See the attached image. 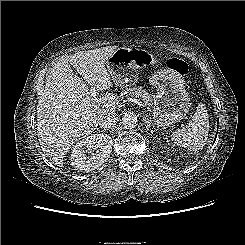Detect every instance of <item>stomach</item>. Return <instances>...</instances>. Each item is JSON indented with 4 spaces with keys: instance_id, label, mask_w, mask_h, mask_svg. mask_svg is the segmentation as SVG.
Listing matches in <instances>:
<instances>
[{
    "instance_id": "stomach-1",
    "label": "stomach",
    "mask_w": 245,
    "mask_h": 245,
    "mask_svg": "<svg viewBox=\"0 0 245 245\" xmlns=\"http://www.w3.org/2000/svg\"><path fill=\"white\" fill-rule=\"evenodd\" d=\"M155 62L154 54L148 50L122 47L106 61V67L116 86L127 88L137 82L139 69ZM149 81L156 88L153 97L155 123L164 128L183 119L190 109L183 77L173 70L161 69L152 74Z\"/></svg>"
}]
</instances>
